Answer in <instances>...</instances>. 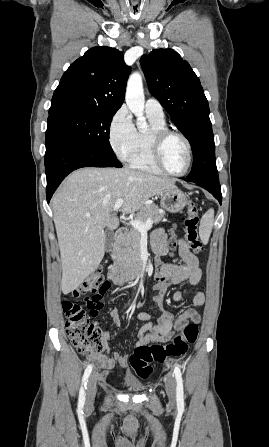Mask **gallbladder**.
I'll list each match as a JSON object with an SVG mask.
<instances>
[{
  "instance_id": "gallbladder-1",
  "label": "gallbladder",
  "mask_w": 269,
  "mask_h": 447,
  "mask_svg": "<svg viewBox=\"0 0 269 447\" xmlns=\"http://www.w3.org/2000/svg\"><path fill=\"white\" fill-rule=\"evenodd\" d=\"M105 249L106 251H110L113 247L114 243V233L112 229H105Z\"/></svg>"
}]
</instances>
